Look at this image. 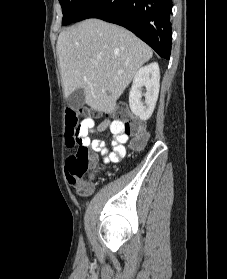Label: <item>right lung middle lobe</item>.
<instances>
[{
    "instance_id": "obj_1",
    "label": "right lung middle lobe",
    "mask_w": 227,
    "mask_h": 279,
    "mask_svg": "<svg viewBox=\"0 0 227 279\" xmlns=\"http://www.w3.org/2000/svg\"><path fill=\"white\" fill-rule=\"evenodd\" d=\"M88 0H59L62 6V13H63V25H68L72 23L79 13L82 6Z\"/></svg>"
}]
</instances>
